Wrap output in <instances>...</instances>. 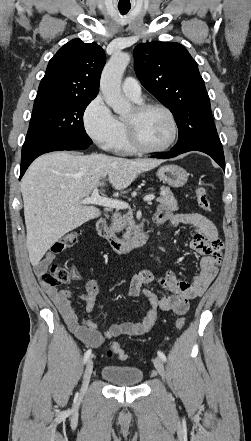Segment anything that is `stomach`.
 <instances>
[{
    "label": "stomach",
    "mask_w": 251,
    "mask_h": 441,
    "mask_svg": "<svg viewBox=\"0 0 251 441\" xmlns=\"http://www.w3.org/2000/svg\"><path fill=\"white\" fill-rule=\"evenodd\" d=\"M157 176L171 187L179 188L186 184L188 173L178 165H165L158 169Z\"/></svg>",
    "instance_id": "stomach-1"
}]
</instances>
